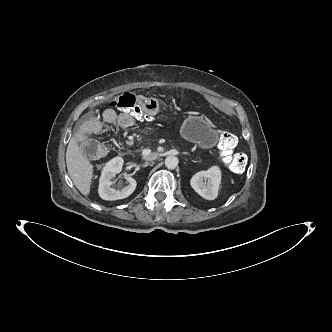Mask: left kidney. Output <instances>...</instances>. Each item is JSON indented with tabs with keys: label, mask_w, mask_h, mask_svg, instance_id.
<instances>
[{
	"label": "left kidney",
	"mask_w": 332,
	"mask_h": 332,
	"mask_svg": "<svg viewBox=\"0 0 332 332\" xmlns=\"http://www.w3.org/2000/svg\"><path fill=\"white\" fill-rule=\"evenodd\" d=\"M220 182L221 172L216 166L196 173L190 181L192 188L207 200H214L217 197Z\"/></svg>",
	"instance_id": "5707ae66"
}]
</instances>
